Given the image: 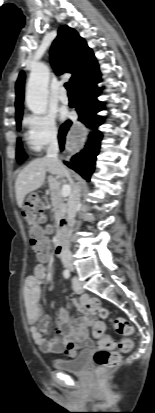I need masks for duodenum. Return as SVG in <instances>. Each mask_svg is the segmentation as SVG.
<instances>
[{
  "label": "duodenum",
  "instance_id": "obj_1",
  "mask_svg": "<svg viewBox=\"0 0 155 413\" xmlns=\"http://www.w3.org/2000/svg\"><path fill=\"white\" fill-rule=\"evenodd\" d=\"M66 234V222L62 220L57 227L56 232V242H55V253L58 257H63L65 253V243L64 238Z\"/></svg>",
  "mask_w": 155,
  "mask_h": 413
}]
</instances>
